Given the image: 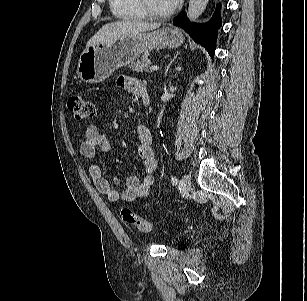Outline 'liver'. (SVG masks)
Masks as SVG:
<instances>
[{
	"instance_id": "liver-1",
	"label": "liver",
	"mask_w": 307,
	"mask_h": 301,
	"mask_svg": "<svg viewBox=\"0 0 307 301\" xmlns=\"http://www.w3.org/2000/svg\"><path fill=\"white\" fill-rule=\"evenodd\" d=\"M160 23L145 21H118L104 25L86 44V48L99 43L113 41L119 37L136 35L160 27Z\"/></svg>"
}]
</instances>
